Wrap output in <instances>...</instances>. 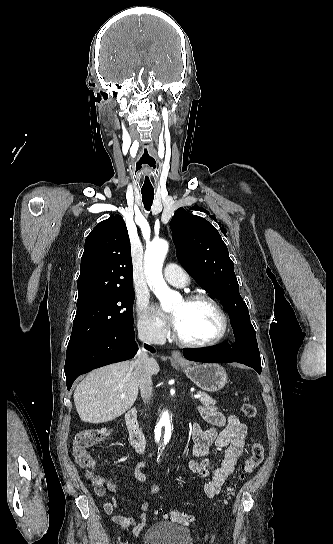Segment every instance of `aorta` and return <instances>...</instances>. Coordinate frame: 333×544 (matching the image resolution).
<instances>
[{
  "instance_id": "1",
  "label": "aorta",
  "mask_w": 333,
  "mask_h": 544,
  "mask_svg": "<svg viewBox=\"0 0 333 544\" xmlns=\"http://www.w3.org/2000/svg\"><path fill=\"white\" fill-rule=\"evenodd\" d=\"M167 251L168 243L161 239L148 245L144 256L150 286L165 311H169L181 299L180 294L172 291L163 278L162 266ZM171 430L169 413L164 412L157 424L156 441L165 446L169 442Z\"/></svg>"
}]
</instances>
